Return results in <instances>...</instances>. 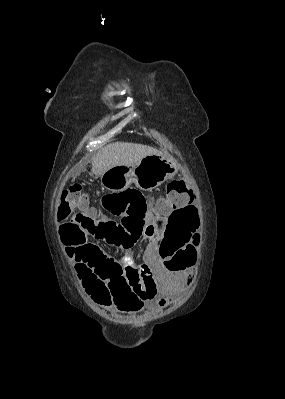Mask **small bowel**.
Wrapping results in <instances>:
<instances>
[{"label": "small bowel", "instance_id": "c3829d8e", "mask_svg": "<svg viewBox=\"0 0 285 399\" xmlns=\"http://www.w3.org/2000/svg\"><path fill=\"white\" fill-rule=\"evenodd\" d=\"M186 199L187 196L182 194L178 200V204L186 207ZM174 208L175 206L168 205L164 208H161L160 212L152 210V223L149 224L144 230V236L150 242V246L147 248L143 256V259L150 264L153 263L154 255L157 250L156 240L160 234L159 226L168 222V217L169 215L173 214ZM98 222H101L100 218H98ZM163 234L166 240L169 242H183L184 255L190 261V264L184 270L175 271L160 276L158 278L159 285L157 288V294L149 299L140 298L137 305L129 307L123 305L118 300L116 294L114 293V287L136 279L139 275L138 269L133 263H130L129 269L124 270L119 261L103 255V258L100 260V269L109 279L107 283L111 282L114 284V287H109L107 301L101 294L97 292L86 291L92 300L103 307L114 308L128 313H137L142 311L149 301H155L157 306L162 309L167 307L171 301L182 295L192 281V262L194 261L197 253L196 246L199 240V233L197 228L194 227V219L190 218L186 222L170 225L168 229L163 230ZM66 252L70 260L73 262L75 269L87 263L84 258L79 256L77 247H67Z\"/></svg>", "mask_w": 285, "mask_h": 399}]
</instances>
